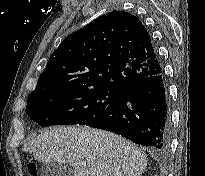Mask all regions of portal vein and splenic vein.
I'll return each instance as SVG.
<instances>
[{
	"label": "portal vein and splenic vein",
	"mask_w": 205,
	"mask_h": 176,
	"mask_svg": "<svg viewBox=\"0 0 205 176\" xmlns=\"http://www.w3.org/2000/svg\"><path fill=\"white\" fill-rule=\"evenodd\" d=\"M86 165V163L85 162H80V166H85Z\"/></svg>",
	"instance_id": "portal-vein-and-splenic-vein-1"
}]
</instances>
